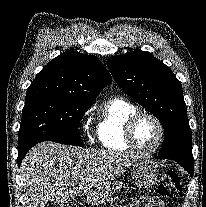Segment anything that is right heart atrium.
<instances>
[{"label": "right heart atrium", "instance_id": "1", "mask_svg": "<svg viewBox=\"0 0 206 207\" xmlns=\"http://www.w3.org/2000/svg\"><path fill=\"white\" fill-rule=\"evenodd\" d=\"M88 138L91 140V137L88 135Z\"/></svg>", "mask_w": 206, "mask_h": 207}]
</instances>
